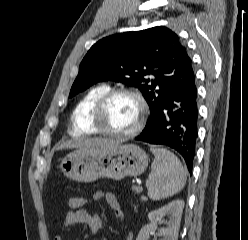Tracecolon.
<instances>
[{
    "label": "colon",
    "instance_id": "1",
    "mask_svg": "<svg viewBox=\"0 0 248 240\" xmlns=\"http://www.w3.org/2000/svg\"><path fill=\"white\" fill-rule=\"evenodd\" d=\"M86 204V199L82 196H73L67 201V207L70 212L78 211L83 209Z\"/></svg>",
    "mask_w": 248,
    "mask_h": 240
}]
</instances>
